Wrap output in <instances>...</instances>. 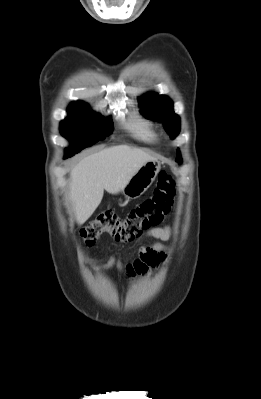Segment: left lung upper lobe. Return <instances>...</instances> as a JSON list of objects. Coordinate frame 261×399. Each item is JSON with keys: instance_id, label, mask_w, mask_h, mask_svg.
Here are the masks:
<instances>
[{"instance_id": "5c2ea615", "label": "left lung upper lobe", "mask_w": 261, "mask_h": 399, "mask_svg": "<svg viewBox=\"0 0 261 399\" xmlns=\"http://www.w3.org/2000/svg\"><path fill=\"white\" fill-rule=\"evenodd\" d=\"M141 113L146 117L164 123L165 130L175 138L180 131V120L172 109V101L164 96L155 93H148L139 98ZM176 161L181 163L182 159L178 151Z\"/></svg>"}]
</instances>
